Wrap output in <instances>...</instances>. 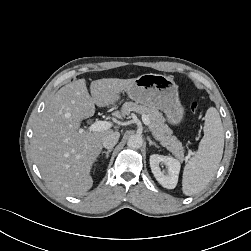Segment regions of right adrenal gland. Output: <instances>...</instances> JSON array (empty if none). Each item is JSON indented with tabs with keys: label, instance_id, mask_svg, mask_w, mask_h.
<instances>
[{
	"label": "right adrenal gland",
	"instance_id": "obj_1",
	"mask_svg": "<svg viewBox=\"0 0 251 251\" xmlns=\"http://www.w3.org/2000/svg\"><path fill=\"white\" fill-rule=\"evenodd\" d=\"M111 152H112V149H108L107 151H102L101 154L102 155L105 154L106 155V159H108L109 153H111Z\"/></svg>",
	"mask_w": 251,
	"mask_h": 251
}]
</instances>
